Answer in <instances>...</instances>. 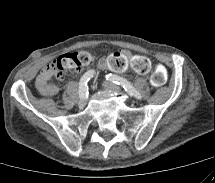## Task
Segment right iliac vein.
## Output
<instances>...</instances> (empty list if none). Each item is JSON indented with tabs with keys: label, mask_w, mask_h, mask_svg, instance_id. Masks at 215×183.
Here are the masks:
<instances>
[{
	"label": "right iliac vein",
	"mask_w": 215,
	"mask_h": 183,
	"mask_svg": "<svg viewBox=\"0 0 215 183\" xmlns=\"http://www.w3.org/2000/svg\"><path fill=\"white\" fill-rule=\"evenodd\" d=\"M86 105V97L80 98L79 106L84 107Z\"/></svg>",
	"instance_id": "63e3f726"
}]
</instances>
